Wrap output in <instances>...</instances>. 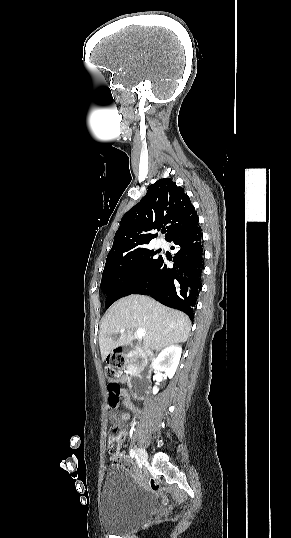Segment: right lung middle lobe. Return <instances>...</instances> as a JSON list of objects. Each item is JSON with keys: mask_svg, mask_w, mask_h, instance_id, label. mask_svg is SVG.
Returning <instances> with one entry per match:
<instances>
[{"mask_svg": "<svg viewBox=\"0 0 291 538\" xmlns=\"http://www.w3.org/2000/svg\"><path fill=\"white\" fill-rule=\"evenodd\" d=\"M154 251L143 248L106 259L101 288L107 295L105 306L109 308L116 300L131 295L146 280L159 258Z\"/></svg>", "mask_w": 291, "mask_h": 538, "instance_id": "obj_1", "label": "right lung middle lobe"}]
</instances>
